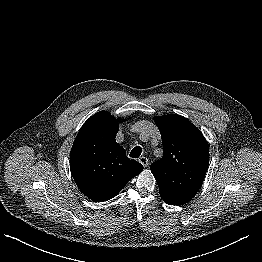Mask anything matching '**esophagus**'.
Wrapping results in <instances>:
<instances>
[{
    "label": "esophagus",
    "mask_w": 262,
    "mask_h": 262,
    "mask_svg": "<svg viewBox=\"0 0 262 262\" xmlns=\"http://www.w3.org/2000/svg\"><path fill=\"white\" fill-rule=\"evenodd\" d=\"M139 162L144 166V167H147L148 166V159L146 157H140L139 158Z\"/></svg>",
    "instance_id": "34e87169"
}]
</instances>
